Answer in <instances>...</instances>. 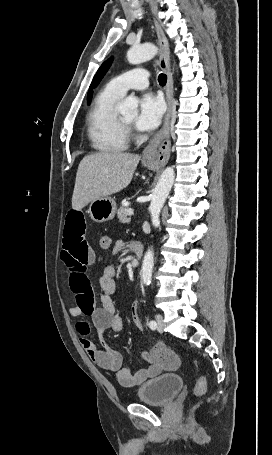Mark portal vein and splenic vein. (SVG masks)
I'll return each instance as SVG.
<instances>
[{
	"mask_svg": "<svg viewBox=\"0 0 272 455\" xmlns=\"http://www.w3.org/2000/svg\"><path fill=\"white\" fill-rule=\"evenodd\" d=\"M134 213V210L132 208H129L127 211V214L131 216Z\"/></svg>",
	"mask_w": 272,
	"mask_h": 455,
	"instance_id": "18ae733b",
	"label": "portal vein and splenic vein"
}]
</instances>
